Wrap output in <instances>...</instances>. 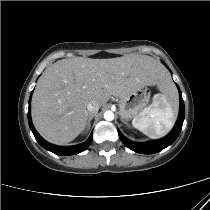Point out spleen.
Returning <instances> with one entry per match:
<instances>
[{
  "mask_svg": "<svg viewBox=\"0 0 210 210\" xmlns=\"http://www.w3.org/2000/svg\"><path fill=\"white\" fill-rule=\"evenodd\" d=\"M162 92L154 95L152 104L132 120L133 127L150 138L164 136L174 125L172 99L175 90L170 80Z\"/></svg>",
  "mask_w": 210,
  "mask_h": 210,
  "instance_id": "spleen-1",
  "label": "spleen"
}]
</instances>
